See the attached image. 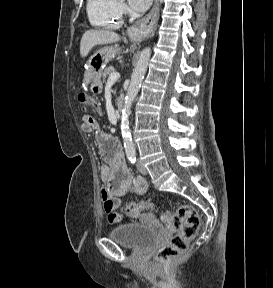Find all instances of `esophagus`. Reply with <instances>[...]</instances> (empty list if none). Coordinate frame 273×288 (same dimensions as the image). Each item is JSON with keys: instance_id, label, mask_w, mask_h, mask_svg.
<instances>
[{"instance_id": "esophagus-1", "label": "esophagus", "mask_w": 273, "mask_h": 288, "mask_svg": "<svg viewBox=\"0 0 273 288\" xmlns=\"http://www.w3.org/2000/svg\"><path fill=\"white\" fill-rule=\"evenodd\" d=\"M159 18V0L154 1L150 12L142 19L136 21L127 29V34L132 40H139L143 35L153 33Z\"/></svg>"}]
</instances>
